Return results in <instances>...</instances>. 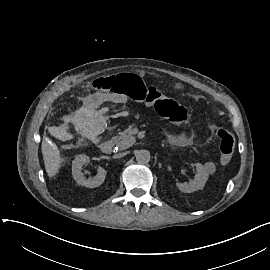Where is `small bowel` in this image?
Instances as JSON below:
<instances>
[{"mask_svg":"<svg viewBox=\"0 0 270 270\" xmlns=\"http://www.w3.org/2000/svg\"><path fill=\"white\" fill-rule=\"evenodd\" d=\"M177 88H180L181 85L177 84ZM127 98L122 94L117 93H99L95 97V103L101 104L105 102L114 103V104H124L126 103Z\"/></svg>","mask_w":270,"mask_h":270,"instance_id":"c3829d8e","label":"small bowel"}]
</instances>
